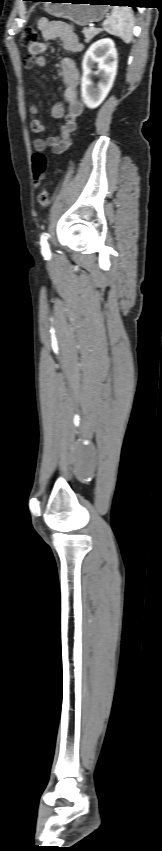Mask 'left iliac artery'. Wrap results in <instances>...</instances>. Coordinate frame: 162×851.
Segmentation results:
<instances>
[{"instance_id":"obj_1","label":"left iliac artery","mask_w":162,"mask_h":851,"mask_svg":"<svg viewBox=\"0 0 162 851\" xmlns=\"http://www.w3.org/2000/svg\"><path fill=\"white\" fill-rule=\"evenodd\" d=\"M46 239L47 238H46L45 234H43L41 236V240H40L41 252H42L44 257L49 258L50 257V250H49V246H48Z\"/></svg>"}]
</instances>
